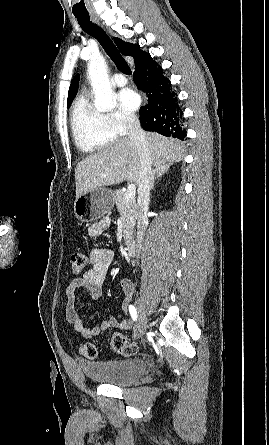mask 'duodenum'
Returning a JSON list of instances; mask_svg holds the SVG:
<instances>
[{
  "mask_svg": "<svg viewBox=\"0 0 269 445\" xmlns=\"http://www.w3.org/2000/svg\"><path fill=\"white\" fill-rule=\"evenodd\" d=\"M126 250L129 255H134L137 251L136 242L134 240L129 241L126 246Z\"/></svg>",
  "mask_w": 269,
  "mask_h": 445,
  "instance_id": "1",
  "label": "duodenum"
}]
</instances>
